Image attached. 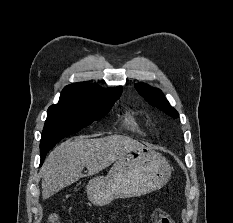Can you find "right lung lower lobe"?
Wrapping results in <instances>:
<instances>
[{"label":"right lung lower lobe","mask_w":233,"mask_h":223,"mask_svg":"<svg viewBox=\"0 0 233 223\" xmlns=\"http://www.w3.org/2000/svg\"><path fill=\"white\" fill-rule=\"evenodd\" d=\"M49 150H50V149H49ZM49 150H46V151H44L43 153H41V164H40V165H42V163H43V161H44V158H45V156H46V154L48 153Z\"/></svg>","instance_id":"98d812e1"}]
</instances>
